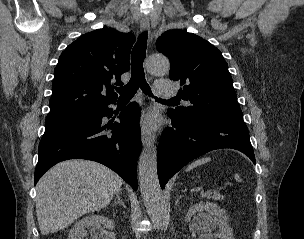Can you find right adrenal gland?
I'll return each mask as SVG.
<instances>
[{
  "mask_svg": "<svg viewBox=\"0 0 304 239\" xmlns=\"http://www.w3.org/2000/svg\"><path fill=\"white\" fill-rule=\"evenodd\" d=\"M117 204H120V205H122L123 207H125V204H124V202H122V200H121V198H120V192H117L116 193V199L114 200V203H113V205H117Z\"/></svg>",
  "mask_w": 304,
  "mask_h": 239,
  "instance_id": "obj_1",
  "label": "right adrenal gland"
}]
</instances>
